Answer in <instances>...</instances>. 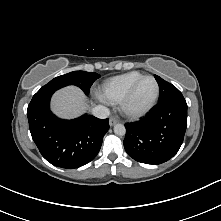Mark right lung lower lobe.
I'll use <instances>...</instances> for the list:
<instances>
[{
    "instance_id": "obj_1",
    "label": "right lung lower lobe",
    "mask_w": 221,
    "mask_h": 221,
    "mask_svg": "<svg viewBox=\"0 0 221 221\" xmlns=\"http://www.w3.org/2000/svg\"><path fill=\"white\" fill-rule=\"evenodd\" d=\"M52 94L34 96L28 105L32 138L49 163L66 169L81 167L98 154L109 129V119L92 115L73 120L59 119L49 108Z\"/></svg>"
}]
</instances>
